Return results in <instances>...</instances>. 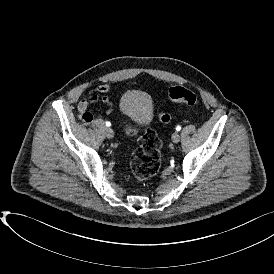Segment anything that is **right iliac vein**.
I'll list each match as a JSON object with an SVG mask.
<instances>
[{
  "label": "right iliac vein",
  "mask_w": 274,
  "mask_h": 274,
  "mask_svg": "<svg viewBox=\"0 0 274 274\" xmlns=\"http://www.w3.org/2000/svg\"><path fill=\"white\" fill-rule=\"evenodd\" d=\"M105 134H106V137L109 138V139L113 138V136H114V132L111 128H106L105 129Z\"/></svg>",
  "instance_id": "obj_1"
}]
</instances>
